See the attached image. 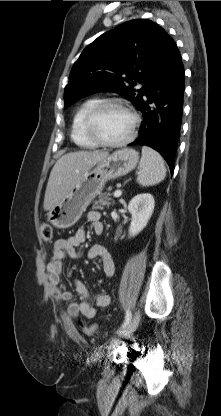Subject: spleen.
I'll use <instances>...</instances> for the list:
<instances>
[{
  "instance_id": "obj_1",
  "label": "spleen",
  "mask_w": 221,
  "mask_h": 416,
  "mask_svg": "<svg viewBox=\"0 0 221 416\" xmlns=\"http://www.w3.org/2000/svg\"><path fill=\"white\" fill-rule=\"evenodd\" d=\"M140 172L137 182L146 187L160 183L166 176V168L162 156L148 146L142 147Z\"/></svg>"
}]
</instances>
